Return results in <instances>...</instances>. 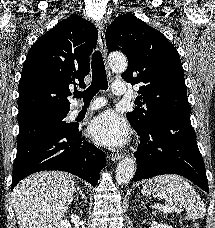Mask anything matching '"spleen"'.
Returning a JSON list of instances; mask_svg holds the SVG:
<instances>
[{
  "label": "spleen",
  "instance_id": "1",
  "mask_svg": "<svg viewBox=\"0 0 215 228\" xmlns=\"http://www.w3.org/2000/svg\"><path fill=\"white\" fill-rule=\"evenodd\" d=\"M141 194L143 196L160 194V196L173 198L171 202H177V204L184 206L191 220H199V218H204L206 214L200 196L185 178L176 176V174H165V176L151 178V180L145 182Z\"/></svg>",
  "mask_w": 215,
  "mask_h": 228
}]
</instances>
